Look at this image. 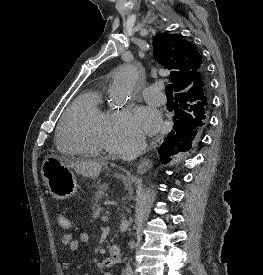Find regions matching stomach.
Segmentation results:
<instances>
[{
    "mask_svg": "<svg viewBox=\"0 0 263 275\" xmlns=\"http://www.w3.org/2000/svg\"><path fill=\"white\" fill-rule=\"evenodd\" d=\"M41 173L53 198L64 200L77 192L76 176L60 158L53 155L46 157L42 163Z\"/></svg>",
    "mask_w": 263,
    "mask_h": 275,
    "instance_id": "stomach-1",
    "label": "stomach"
}]
</instances>
